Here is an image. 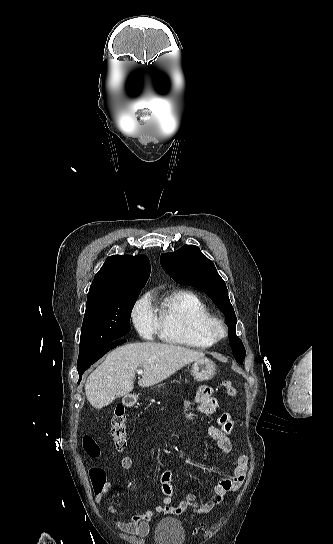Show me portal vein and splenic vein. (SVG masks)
Returning <instances> with one entry per match:
<instances>
[{"label": "portal vein and splenic vein", "mask_w": 333, "mask_h": 544, "mask_svg": "<svg viewBox=\"0 0 333 544\" xmlns=\"http://www.w3.org/2000/svg\"><path fill=\"white\" fill-rule=\"evenodd\" d=\"M137 373H138V374H143V370H142V369H138V370H137Z\"/></svg>", "instance_id": "portal-vein-and-splenic-vein-1"}]
</instances>
